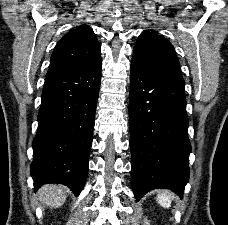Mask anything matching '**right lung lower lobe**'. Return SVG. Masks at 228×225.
Returning <instances> with one entry per match:
<instances>
[{"label": "right lung lower lobe", "mask_w": 228, "mask_h": 225, "mask_svg": "<svg viewBox=\"0 0 228 225\" xmlns=\"http://www.w3.org/2000/svg\"><path fill=\"white\" fill-rule=\"evenodd\" d=\"M101 56L90 63L46 77L38 130L33 140L31 176L35 191L61 183L79 195L87 173L88 154L101 82Z\"/></svg>", "instance_id": "right-lung-lower-lobe-1"}]
</instances>
